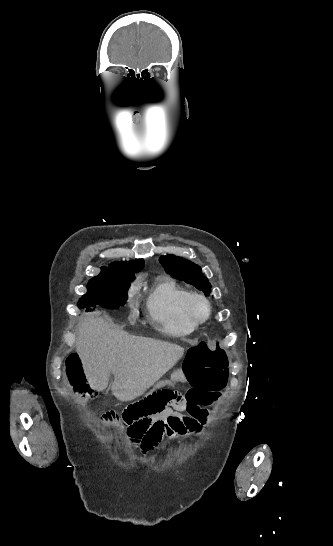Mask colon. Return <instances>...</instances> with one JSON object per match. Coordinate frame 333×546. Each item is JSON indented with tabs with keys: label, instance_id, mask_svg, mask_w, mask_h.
Wrapping results in <instances>:
<instances>
[{
	"label": "colon",
	"instance_id": "colon-1",
	"mask_svg": "<svg viewBox=\"0 0 333 546\" xmlns=\"http://www.w3.org/2000/svg\"><path fill=\"white\" fill-rule=\"evenodd\" d=\"M228 358L224 349L217 342L202 341L188 350L184 371H188V381L192 385L185 399L187 403L203 401L201 394L215 392L223 389L228 380ZM66 373L71 384L85 395H91V391L97 387L89 385V381L83 379V361L79 354H72L66 360ZM181 397L170 390H159L146 396H140L138 400H128L123 407L121 415L113 411L103 415L107 423L123 422L128 418H134L135 422H146L147 418H155L159 412L168 405H181Z\"/></svg>",
	"mask_w": 333,
	"mask_h": 546
}]
</instances>
